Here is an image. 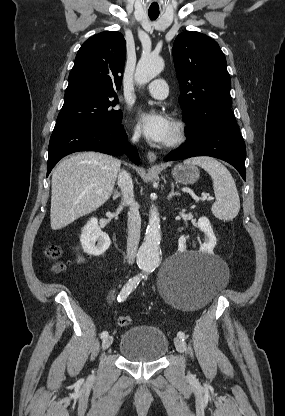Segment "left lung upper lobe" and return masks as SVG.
Listing matches in <instances>:
<instances>
[{"label":"left lung upper lobe","instance_id":"5c2ea615","mask_svg":"<svg viewBox=\"0 0 285 416\" xmlns=\"http://www.w3.org/2000/svg\"><path fill=\"white\" fill-rule=\"evenodd\" d=\"M173 60L186 136L216 123L236 122L226 58L216 41L199 32H183L174 41Z\"/></svg>","mask_w":285,"mask_h":416}]
</instances>
